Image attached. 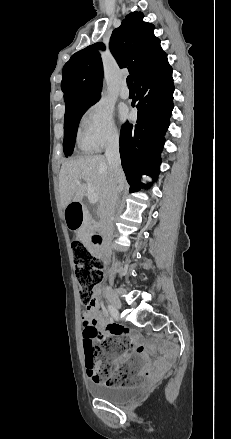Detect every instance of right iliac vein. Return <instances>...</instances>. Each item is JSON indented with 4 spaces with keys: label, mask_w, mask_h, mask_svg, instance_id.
Here are the masks:
<instances>
[{
    "label": "right iliac vein",
    "mask_w": 231,
    "mask_h": 439,
    "mask_svg": "<svg viewBox=\"0 0 231 439\" xmlns=\"http://www.w3.org/2000/svg\"><path fill=\"white\" fill-rule=\"evenodd\" d=\"M108 300H109V302L111 303V306L114 309V312L112 313V316L115 319H119V312H118V310L121 307V302H120L118 296L115 294L114 291H110L108 293Z\"/></svg>",
    "instance_id": "1"
}]
</instances>
